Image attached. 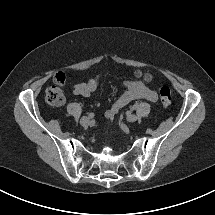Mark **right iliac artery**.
<instances>
[{
  "label": "right iliac artery",
  "mask_w": 215,
  "mask_h": 215,
  "mask_svg": "<svg viewBox=\"0 0 215 215\" xmlns=\"http://www.w3.org/2000/svg\"><path fill=\"white\" fill-rule=\"evenodd\" d=\"M93 116H94L93 113H90V114L88 115L89 118H92Z\"/></svg>",
  "instance_id": "82829eb1"
}]
</instances>
